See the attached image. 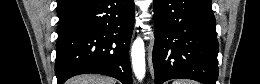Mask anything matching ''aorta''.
<instances>
[{
	"label": "aorta",
	"mask_w": 260,
	"mask_h": 84,
	"mask_svg": "<svg viewBox=\"0 0 260 84\" xmlns=\"http://www.w3.org/2000/svg\"><path fill=\"white\" fill-rule=\"evenodd\" d=\"M132 68L138 80H142L146 71L144 41L137 37L131 49Z\"/></svg>",
	"instance_id": "1"
}]
</instances>
